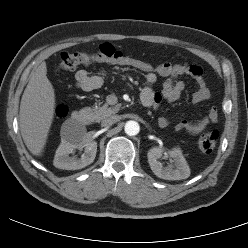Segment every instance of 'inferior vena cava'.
<instances>
[{
	"label": "inferior vena cava",
	"mask_w": 248,
	"mask_h": 248,
	"mask_svg": "<svg viewBox=\"0 0 248 248\" xmlns=\"http://www.w3.org/2000/svg\"><path fill=\"white\" fill-rule=\"evenodd\" d=\"M118 120H119V116L110 115V116H107V117L102 119L101 125L104 126V127L110 126V125L116 123Z\"/></svg>",
	"instance_id": "inferior-vena-cava-1"
}]
</instances>
